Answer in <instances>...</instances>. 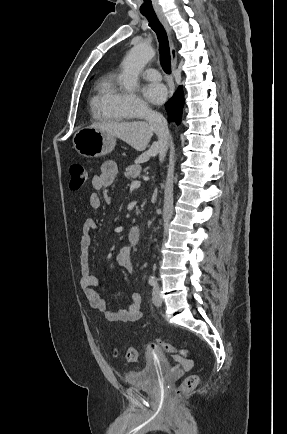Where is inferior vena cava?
<instances>
[{
  "label": "inferior vena cava",
  "instance_id": "inferior-vena-cava-1",
  "mask_svg": "<svg viewBox=\"0 0 287 434\" xmlns=\"http://www.w3.org/2000/svg\"><path fill=\"white\" fill-rule=\"evenodd\" d=\"M144 117L158 136L159 159L160 162H163L168 150V139L170 137L167 121L161 113L152 111L151 109L144 111Z\"/></svg>",
  "mask_w": 287,
  "mask_h": 434
}]
</instances>
